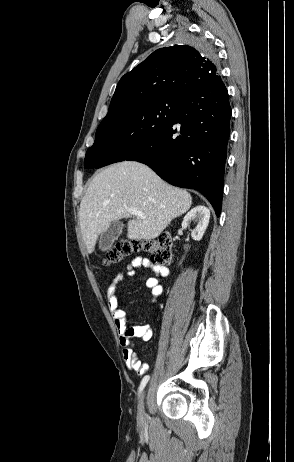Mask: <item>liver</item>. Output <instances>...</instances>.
I'll return each mask as SVG.
<instances>
[{"instance_id": "1", "label": "liver", "mask_w": 294, "mask_h": 462, "mask_svg": "<svg viewBox=\"0 0 294 462\" xmlns=\"http://www.w3.org/2000/svg\"><path fill=\"white\" fill-rule=\"evenodd\" d=\"M191 205L186 190L167 184L146 165L134 161L113 164L92 179L80 203L79 221L87 252H93L98 236L112 222L130 217L129 208L143 212L146 218L130 219L127 237L150 240Z\"/></svg>"}]
</instances>
